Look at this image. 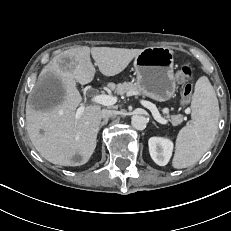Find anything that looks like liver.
Instances as JSON below:
<instances>
[{"instance_id":"liver-1","label":"liver","mask_w":231,"mask_h":231,"mask_svg":"<svg viewBox=\"0 0 231 231\" xmlns=\"http://www.w3.org/2000/svg\"><path fill=\"white\" fill-rule=\"evenodd\" d=\"M143 49L78 46L56 55L41 71L37 84L55 83L57 103L44 108V103L26 104V128L39 154L53 164L80 166L85 164L96 148L101 122V106L89 105L76 119V108L82 97L76 82L90 83L95 68L90 54L105 76L121 73ZM37 106L38 108H35Z\"/></svg>"}]
</instances>
